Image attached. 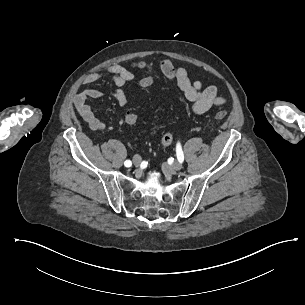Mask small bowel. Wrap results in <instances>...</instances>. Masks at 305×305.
I'll use <instances>...</instances> for the list:
<instances>
[{"label":"small bowel","mask_w":305,"mask_h":305,"mask_svg":"<svg viewBox=\"0 0 305 305\" xmlns=\"http://www.w3.org/2000/svg\"><path fill=\"white\" fill-rule=\"evenodd\" d=\"M168 67L176 68L179 71L180 79L177 85L190 103L191 111L194 114H204L212 107L221 106L225 103V98L218 94L215 86L204 88L200 80H190L188 72L184 67H175L171 59H163L160 63L161 72ZM135 69H145L148 70L151 75H156V71L150 63L137 60L131 63L130 68H125L118 64L108 65L99 72L89 75L85 81L86 83H94L104 77H111L116 85L114 98L119 105L124 106L128 102L125 87L129 81L134 79L133 70ZM102 95L103 93L100 90L90 88L82 91L74 97V106L76 111L88 124L89 128L94 131L105 130L106 124L95 114L88 104V100L99 98Z\"/></svg>","instance_id":"small-bowel-1"}]
</instances>
